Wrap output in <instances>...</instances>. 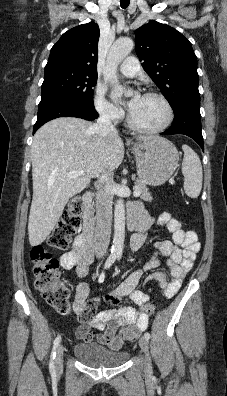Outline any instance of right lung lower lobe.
<instances>
[{
    "instance_id": "98d812e1",
    "label": "right lung lower lobe",
    "mask_w": 227,
    "mask_h": 396,
    "mask_svg": "<svg viewBox=\"0 0 227 396\" xmlns=\"http://www.w3.org/2000/svg\"><path fill=\"white\" fill-rule=\"evenodd\" d=\"M59 117H78L85 120H94L98 117V113L94 107L83 105L69 98L55 97L41 100L33 133L46 122Z\"/></svg>"
}]
</instances>
